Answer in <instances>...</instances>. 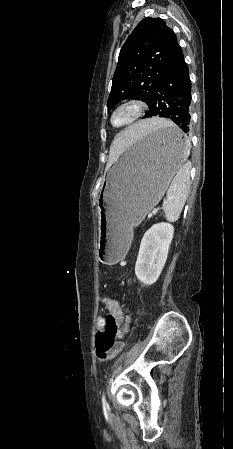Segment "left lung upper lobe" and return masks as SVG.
Masks as SVG:
<instances>
[{
  "label": "left lung upper lobe",
  "mask_w": 233,
  "mask_h": 449,
  "mask_svg": "<svg viewBox=\"0 0 233 449\" xmlns=\"http://www.w3.org/2000/svg\"><path fill=\"white\" fill-rule=\"evenodd\" d=\"M181 55L173 30L161 18H144L121 48L108 111L127 98L142 99L150 109L157 84Z\"/></svg>",
  "instance_id": "left-lung-upper-lobe-1"
}]
</instances>
